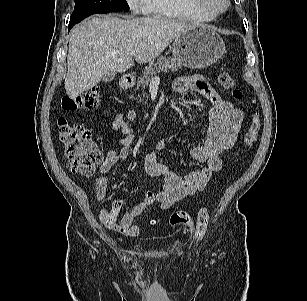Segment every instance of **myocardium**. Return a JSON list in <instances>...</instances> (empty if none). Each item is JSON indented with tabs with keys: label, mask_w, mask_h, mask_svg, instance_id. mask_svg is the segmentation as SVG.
I'll return each mask as SVG.
<instances>
[{
	"label": "myocardium",
	"mask_w": 307,
	"mask_h": 301,
	"mask_svg": "<svg viewBox=\"0 0 307 301\" xmlns=\"http://www.w3.org/2000/svg\"><path fill=\"white\" fill-rule=\"evenodd\" d=\"M195 9L210 13L214 16L223 14L230 6L229 0H187Z\"/></svg>",
	"instance_id": "obj_1"
}]
</instances>
